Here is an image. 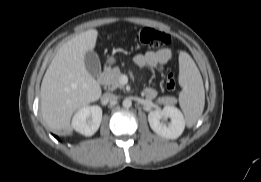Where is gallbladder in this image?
<instances>
[{"label":"gallbladder","instance_id":"obj_1","mask_svg":"<svg viewBox=\"0 0 261 182\" xmlns=\"http://www.w3.org/2000/svg\"><path fill=\"white\" fill-rule=\"evenodd\" d=\"M86 70L90 75L97 78L101 73V63L98 55L90 50L87 51L84 58Z\"/></svg>","mask_w":261,"mask_h":182}]
</instances>
